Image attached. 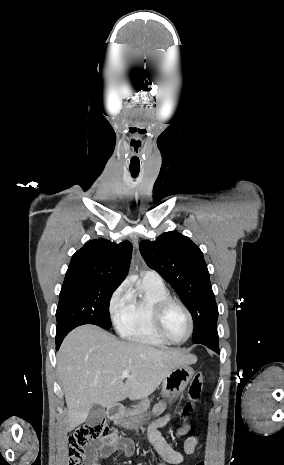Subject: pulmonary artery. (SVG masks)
<instances>
[{
  "mask_svg": "<svg viewBox=\"0 0 284 465\" xmlns=\"http://www.w3.org/2000/svg\"><path fill=\"white\" fill-rule=\"evenodd\" d=\"M143 280L147 282L159 283L163 282L162 277L153 270H143L140 273Z\"/></svg>",
  "mask_w": 284,
  "mask_h": 465,
  "instance_id": "e3ab8cb5",
  "label": "pulmonary artery"
}]
</instances>
